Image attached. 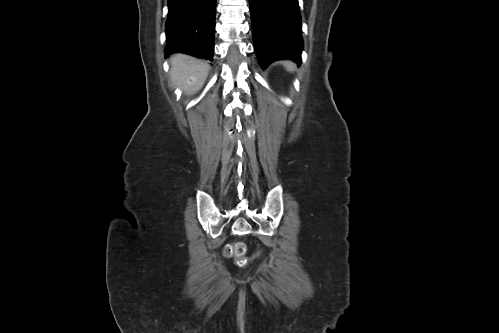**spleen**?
Here are the masks:
<instances>
[{"label":"spleen","instance_id":"spleen-1","mask_svg":"<svg viewBox=\"0 0 499 333\" xmlns=\"http://www.w3.org/2000/svg\"><path fill=\"white\" fill-rule=\"evenodd\" d=\"M285 67L288 71H293L295 69V64L290 61H287L285 62Z\"/></svg>","mask_w":499,"mask_h":333}]
</instances>
